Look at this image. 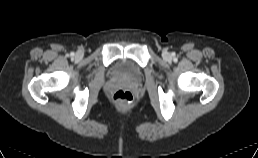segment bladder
<instances>
[{
	"label": "bladder",
	"instance_id": "1",
	"mask_svg": "<svg viewBox=\"0 0 258 158\" xmlns=\"http://www.w3.org/2000/svg\"><path fill=\"white\" fill-rule=\"evenodd\" d=\"M114 72L117 76L126 78H139L142 74L140 67L129 60H120L114 67Z\"/></svg>",
	"mask_w": 258,
	"mask_h": 158
}]
</instances>
